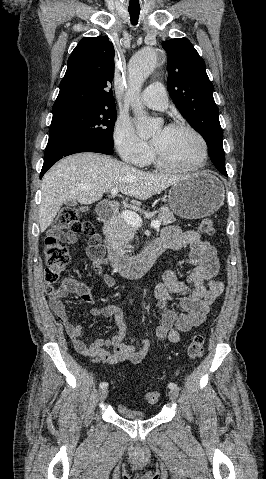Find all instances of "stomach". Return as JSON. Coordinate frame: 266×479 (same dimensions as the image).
Returning <instances> with one entry per match:
<instances>
[{
  "label": "stomach",
  "instance_id": "obj_1",
  "mask_svg": "<svg viewBox=\"0 0 266 479\" xmlns=\"http://www.w3.org/2000/svg\"><path fill=\"white\" fill-rule=\"evenodd\" d=\"M224 185L210 171H201L172 185L170 210L186 219H200L216 212L224 201Z\"/></svg>",
  "mask_w": 266,
  "mask_h": 479
}]
</instances>
